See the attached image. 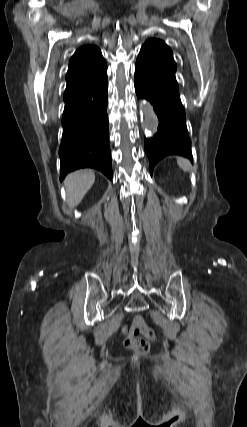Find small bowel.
<instances>
[{"mask_svg":"<svg viewBox=\"0 0 247 427\" xmlns=\"http://www.w3.org/2000/svg\"><path fill=\"white\" fill-rule=\"evenodd\" d=\"M122 333H123L124 335H126V334H127V327H125V326H124V327L122 328Z\"/></svg>","mask_w":247,"mask_h":427,"instance_id":"obj_1","label":"small bowel"}]
</instances>
